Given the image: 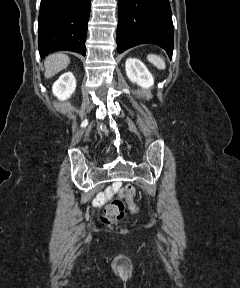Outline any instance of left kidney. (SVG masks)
Listing matches in <instances>:
<instances>
[{
	"label": "left kidney",
	"instance_id": "obj_1",
	"mask_svg": "<svg viewBox=\"0 0 240 288\" xmlns=\"http://www.w3.org/2000/svg\"><path fill=\"white\" fill-rule=\"evenodd\" d=\"M125 69L127 77L132 83H136L142 88H150L154 85L152 74L139 59L128 58Z\"/></svg>",
	"mask_w": 240,
	"mask_h": 288
}]
</instances>
